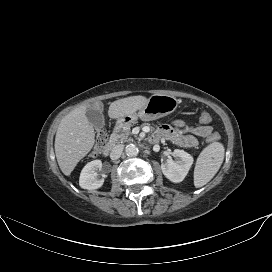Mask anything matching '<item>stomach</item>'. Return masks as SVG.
<instances>
[{
  "mask_svg": "<svg viewBox=\"0 0 272 272\" xmlns=\"http://www.w3.org/2000/svg\"><path fill=\"white\" fill-rule=\"evenodd\" d=\"M179 104L178 99L166 94H154L148 98L145 106L138 111L118 119L119 125H128L138 119L152 121L173 113Z\"/></svg>",
  "mask_w": 272,
  "mask_h": 272,
  "instance_id": "0dacf381",
  "label": "stomach"
}]
</instances>
